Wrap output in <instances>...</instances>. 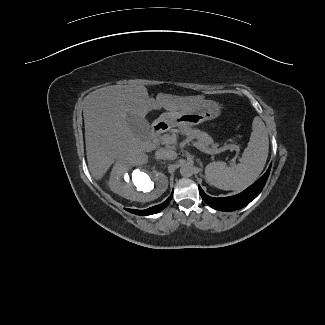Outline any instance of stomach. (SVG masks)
Listing matches in <instances>:
<instances>
[{"mask_svg":"<svg viewBox=\"0 0 325 325\" xmlns=\"http://www.w3.org/2000/svg\"><path fill=\"white\" fill-rule=\"evenodd\" d=\"M220 105L212 100H204L197 106L175 113H163L159 117V121L165 122L170 126L189 128L206 120L215 119L220 115Z\"/></svg>","mask_w":325,"mask_h":325,"instance_id":"obj_1","label":"stomach"}]
</instances>
